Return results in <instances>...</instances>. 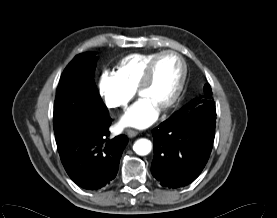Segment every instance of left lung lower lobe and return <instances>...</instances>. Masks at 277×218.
I'll return each mask as SVG.
<instances>
[{
	"label": "left lung lower lobe",
	"instance_id": "left-lung-lower-lobe-1",
	"mask_svg": "<svg viewBox=\"0 0 277 218\" xmlns=\"http://www.w3.org/2000/svg\"><path fill=\"white\" fill-rule=\"evenodd\" d=\"M215 110L171 116L153 129L152 175L162 186L194 181L205 167L214 142Z\"/></svg>",
	"mask_w": 277,
	"mask_h": 218
}]
</instances>
